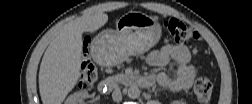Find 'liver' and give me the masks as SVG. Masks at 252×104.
Listing matches in <instances>:
<instances>
[{"label": "liver", "mask_w": 252, "mask_h": 104, "mask_svg": "<svg viewBox=\"0 0 252 104\" xmlns=\"http://www.w3.org/2000/svg\"><path fill=\"white\" fill-rule=\"evenodd\" d=\"M108 15L97 12L61 27L47 47L39 70V92L44 104H61L81 75L82 34L104 26Z\"/></svg>", "instance_id": "obj_1"}]
</instances>
